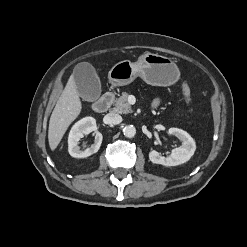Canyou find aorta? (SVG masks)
<instances>
[{"mask_svg": "<svg viewBox=\"0 0 247 247\" xmlns=\"http://www.w3.org/2000/svg\"><path fill=\"white\" fill-rule=\"evenodd\" d=\"M123 134L128 138H132L136 134V129L133 125H127L123 128Z\"/></svg>", "mask_w": 247, "mask_h": 247, "instance_id": "1", "label": "aorta"}]
</instances>
